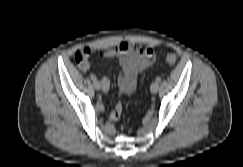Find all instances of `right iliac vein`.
Instances as JSON below:
<instances>
[{"instance_id":"right-iliac-vein-1","label":"right iliac vein","mask_w":243,"mask_h":167,"mask_svg":"<svg viewBox=\"0 0 243 167\" xmlns=\"http://www.w3.org/2000/svg\"><path fill=\"white\" fill-rule=\"evenodd\" d=\"M93 85H94V88L96 89V90H100V88H101V84H100V82L99 81H94L93 82Z\"/></svg>"}]
</instances>
